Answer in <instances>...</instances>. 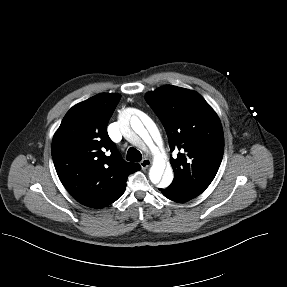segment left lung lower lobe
Listing matches in <instances>:
<instances>
[{
    "mask_svg": "<svg viewBox=\"0 0 287 287\" xmlns=\"http://www.w3.org/2000/svg\"><path fill=\"white\" fill-rule=\"evenodd\" d=\"M159 190L168 199L179 203H183L197 197L175 184H171L169 187Z\"/></svg>",
    "mask_w": 287,
    "mask_h": 287,
    "instance_id": "1",
    "label": "left lung lower lobe"
}]
</instances>
